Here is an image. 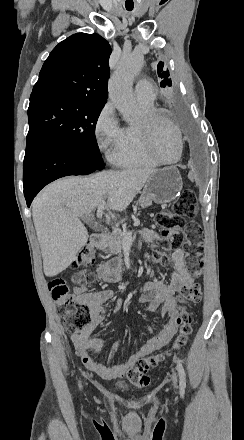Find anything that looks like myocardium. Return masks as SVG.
Masks as SVG:
<instances>
[{"label":"myocardium","instance_id":"obj_1","mask_svg":"<svg viewBox=\"0 0 244 440\" xmlns=\"http://www.w3.org/2000/svg\"><path fill=\"white\" fill-rule=\"evenodd\" d=\"M165 114L163 115L162 110L159 109H152L147 114L143 115L140 120V125L142 126V130H145L146 132L142 133V140L145 141V146L148 147L149 154H154L155 150L152 146V139L149 137H152L154 132L156 131L154 128H150L153 126V124H159L160 121L163 123H168L167 125L171 127L172 130H174L178 137V147H177V155L173 160H164L160 155L156 154L154 156L155 160L162 165H173L179 162L181 155H182V149H183V142H182V136L179 131V129L174 125V122H169V118Z\"/></svg>","mask_w":244,"mask_h":440}]
</instances>
